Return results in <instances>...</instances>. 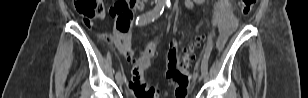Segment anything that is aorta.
<instances>
[{
  "instance_id": "762f6f07",
  "label": "aorta",
  "mask_w": 308,
  "mask_h": 98,
  "mask_svg": "<svg viewBox=\"0 0 308 98\" xmlns=\"http://www.w3.org/2000/svg\"><path fill=\"white\" fill-rule=\"evenodd\" d=\"M165 2H170V0H166Z\"/></svg>"
}]
</instances>
